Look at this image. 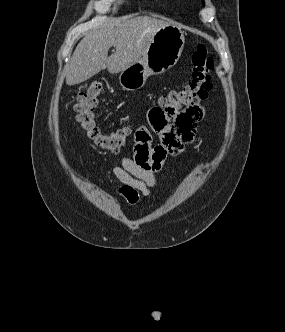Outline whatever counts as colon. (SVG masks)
<instances>
[{
	"label": "colon",
	"instance_id": "obj_1",
	"mask_svg": "<svg viewBox=\"0 0 285 332\" xmlns=\"http://www.w3.org/2000/svg\"><path fill=\"white\" fill-rule=\"evenodd\" d=\"M191 60V81L183 88L171 91L163 96L156 106H166L167 103H175L176 107H181V111H183L198 105L207 98L212 89L211 72L214 67V61L203 44L197 46ZM102 90L103 82L96 80L80 91L74 106L76 120L87 137L98 147L106 151L117 152L125 146L131 129L123 127L107 133L100 129L96 120L95 109Z\"/></svg>",
	"mask_w": 285,
	"mask_h": 332
}]
</instances>
